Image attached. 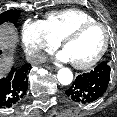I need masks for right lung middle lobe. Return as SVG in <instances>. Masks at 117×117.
I'll list each match as a JSON object with an SVG mask.
<instances>
[{"label":"right lung middle lobe","mask_w":117,"mask_h":117,"mask_svg":"<svg viewBox=\"0 0 117 117\" xmlns=\"http://www.w3.org/2000/svg\"><path fill=\"white\" fill-rule=\"evenodd\" d=\"M19 16L20 13L18 10H8L3 12L0 14V25L5 22H10L16 26Z\"/></svg>","instance_id":"1"}]
</instances>
